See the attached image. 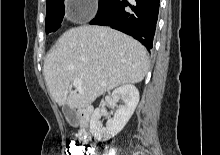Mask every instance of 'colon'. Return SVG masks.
I'll return each instance as SVG.
<instances>
[{"label": "colon", "instance_id": "1", "mask_svg": "<svg viewBox=\"0 0 220 155\" xmlns=\"http://www.w3.org/2000/svg\"><path fill=\"white\" fill-rule=\"evenodd\" d=\"M90 148L92 143H79L77 140L68 141L66 144L69 155H93Z\"/></svg>", "mask_w": 220, "mask_h": 155}]
</instances>
